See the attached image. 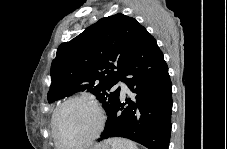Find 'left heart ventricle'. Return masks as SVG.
<instances>
[{
	"label": "left heart ventricle",
	"instance_id": "obj_1",
	"mask_svg": "<svg viewBox=\"0 0 227 149\" xmlns=\"http://www.w3.org/2000/svg\"><path fill=\"white\" fill-rule=\"evenodd\" d=\"M97 121V114L92 107L83 103H71L57 117L58 137L65 144L82 141L93 132Z\"/></svg>",
	"mask_w": 227,
	"mask_h": 149
}]
</instances>
